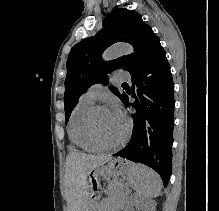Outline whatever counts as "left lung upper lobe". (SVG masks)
I'll use <instances>...</instances> for the list:
<instances>
[{"instance_id":"left-lung-upper-lobe-1","label":"left lung upper lobe","mask_w":219,"mask_h":211,"mask_svg":"<svg viewBox=\"0 0 219 211\" xmlns=\"http://www.w3.org/2000/svg\"><path fill=\"white\" fill-rule=\"evenodd\" d=\"M117 42H128L135 52L105 62L101 58L104 49ZM163 50L159 38L141 16L132 10L118 8L104 20L103 28L93 37L75 44L67 59L65 79V122H68L79 97L93 84L107 80L106 73L123 69L133 74ZM110 90L121 100L114 86Z\"/></svg>"}]
</instances>
